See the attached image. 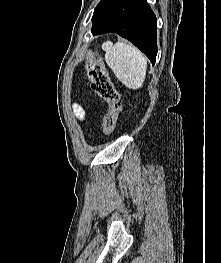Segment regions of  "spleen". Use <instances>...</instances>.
Masks as SVG:
<instances>
[{
    "label": "spleen",
    "mask_w": 221,
    "mask_h": 263,
    "mask_svg": "<svg viewBox=\"0 0 221 263\" xmlns=\"http://www.w3.org/2000/svg\"><path fill=\"white\" fill-rule=\"evenodd\" d=\"M105 61L115 76L129 89L142 87L147 71V59L136 47L125 42L102 44Z\"/></svg>",
    "instance_id": "3e777b00"
}]
</instances>
